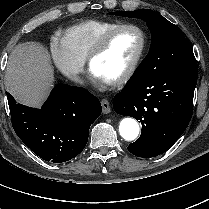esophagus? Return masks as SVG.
I'll use <instances>...</instances> for the list:
<instances>
[{
	"mask_svg": "<svg viewBox=\"0 0 209 209\" xmlns=\"http://www.w3.org/2000/svg\"><path fill=\"white\" fill-rule=\"evenodd\" d=\"M102 112L104 114H108L111 111L110 103L107 99L101 100Z\"/></svg>",
	"mask_w": 209,
	"mask_h": 209,
	"instance_id": "1",
	"label": "esophagus"
}]
</instances>
